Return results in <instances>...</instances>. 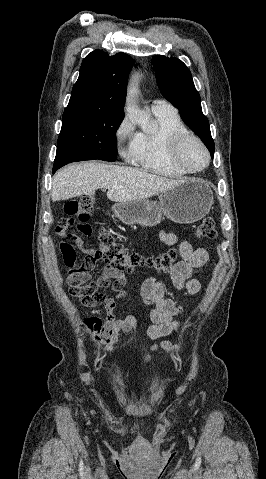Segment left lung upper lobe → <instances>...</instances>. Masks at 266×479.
Listing matches in <instances>:
<instances>
[{"mask_svg": "<svg viewBox=\"0 0 266 479\" xmlns=\"http://www.w3.org/2000/svg\"><path fill=\"white\" fill-rule=\"evenodd\" d=\"M153 63L160 92L172 105L178 107L183 121L200 137L213 157L215 145L209 121L202 112L200 96L195 89L191 72L177 58L156 55Z\"/></svg>", "mask_w": 266, "mask_h": 479, "instance_id": "5c2ea615", "label": "left lung upper lobe"}]
</instances>
